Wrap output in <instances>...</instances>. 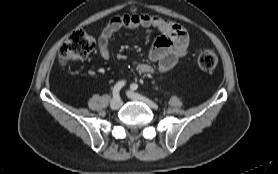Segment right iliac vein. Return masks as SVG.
<instances>
[{"label":"right iliac vein","mask_w":278,"mask_h":174,"mask_svg":"<svg viewBox=\"0 0 278 174\" xmlns=\"http://www.w3.org/2000/svg\"><path fill=\"white\" fill-rule=\"evenodd\" d=\"M122 105V100L120 98L118 99H112L111 102H110V107L112 109H118L120 108Z\"/></svg>","instance_id":"63e3f726"}]
</instances>
